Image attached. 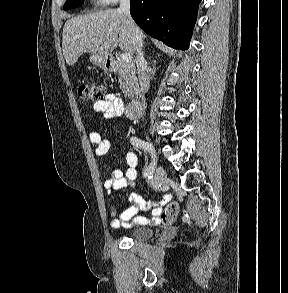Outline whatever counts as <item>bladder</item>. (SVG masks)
Here are the masks:
<instances>
[{
	"label": "bladder",
	"instance_id": "obj_1",
	"mask_svg": "<svg viewBox=\"0 0 288 293\" xmlns=\"http://www.w3.org/2000/svg\"><path fill=\"white\" fill-rule=\"evenodd\" d=\"M154 232L151 228L146 226H138L133 228L128 236L134 241H146L153 236Z\"/></svg>",
	"mask_w": 288,
	"mask_h": 293
}]
</instances>
